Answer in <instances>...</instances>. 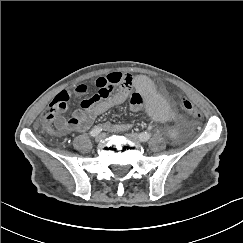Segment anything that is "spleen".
Returning a JSON list of instances; mask_svg holds the SVG:
<instances>
[{
  "mask_svg": "<svg viewBox=\"0 0 243 243\" xmlns=\"http://www.w3.org/2000/svg\"><path fill=\"white\" fill-rule=\"evenodd\" d=\"M132 86L143 101L150 119L159 125L167 123L171 116L170 110L152 79L144 74L138 75ZM163 135L167 142L175 144L182 140L184 132L180 125L172 123L165 127Z\"/></svg>",
  "mask_w": 243,
  "mask_h": 243,
  "instance_id": "obj_1",
  "label": "spleen"
}]
</instances>
